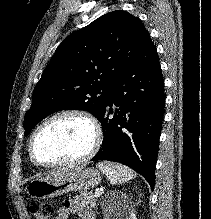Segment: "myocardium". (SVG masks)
<instances>
[{
    "label": "myocardium",
    "mask_w": 211,
    "mask_h": 219,
    "mask_svg": "<svg viewBox=\"0 0 211 219\" xmlns=\"http://www.w3.org/2000/svg\"><path fill=\"white\" fill-rule=\"evenodd\" d=\"M61 117H77L82 120H84L91 128L92 131V143L89 149L85 154H83L81 157L70 160V161H63V162H53V163H45L40 161L34 153V143L35 140L41 131L43 127H45L47 124L52 122L55 119L61 118ZM102 142V132L99 123L97 120L89 113L77 110V109H67L62 110L59 112H56L43 120L33 131L29 143H28V154L31 159V161L38 167L41 168H67V167H74L81 164H84L88 162L91 158H93L96 153L99 151L100 146Z\"/></svg>",
    "instance_id": "1"
}]
</instances>
